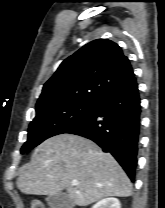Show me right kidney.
I'll return each instance as SVG.
<instances>
[{"label":"right kidney","mask_w":165,"mask_h":208,"mask_svg":"<svg viewBox=\"0 0 165 208\" xmlns=\"http://www.w3.org/2000/svg\"><path fill=\"white\" fill-rule=\"evenodd\" d=\"M92 208H121L120 201L117 198L109 197L102 199L96 203Z\"/></svg>","instance_id":"obj_1"}]
</instances>
